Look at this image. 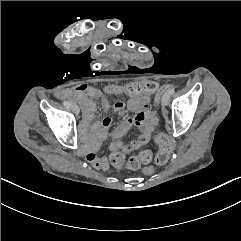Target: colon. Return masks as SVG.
I'll return each instance as SVG.
<instances>
[{
    "mask_svg": "<svg viewBox=\"0 0 241 241\" xmlns=\"http://www.w3.org/2000/svg\"><path fill=\"white\" fill-rule=\"evenodd\" d=\"M153 87H157V83L154 81L151 82H140L135 80L132 84L126 86L125 91L127 94L131 95L134 98H139L142 94L148 95L152 93ZM168 89V84H163L160 88H157V92L154 94V105L158 106L159 101L161 98L162 91H166ZM156 140L161 145L159 149V155H157L154 159L156 165L161 167L166 159L169 157V140L167 135L165 134H158L156 135ZM152 159V154L149 150L142 151L139 155L129 159L128 161L125 160V157L122 153H113L110 155L111 163L116 167H124L127 166L131 169L139 168L140 166L147 164ZM154 171V166L152 164H147L145 166V174L152 173Z\"/></svg>",
    "mask_w": 241,
    "mask_h": 241,
    "instance_id": "colon-1",
    "label": "colon"
}]
</instances>
